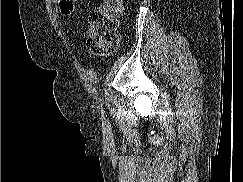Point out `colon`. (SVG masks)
<instances>
[{
	"mask_svg": "<svg viewBox=\"0 0 243 182\" xmlns=\"http://www.w3.org/2000/svg\"><path fill=\"white\" fill-rule=\"evenodd\" d=\"M76 0H59L63 15L73 13ZM122 12V0H104L103 4L89 14L86 38L88 48L97 55L112 53L118 44L116 28Z\"/></svg>",
	"mask_w": 243,
	"mask_h": 182,
	"instance_id": "5ec220e1",
	"label": "colon"
}]
</instances>
